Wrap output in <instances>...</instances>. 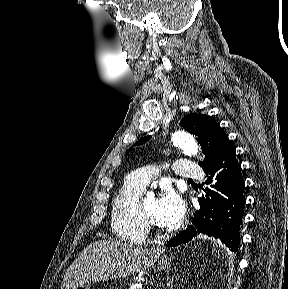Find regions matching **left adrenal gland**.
Wrapping results in <instances>:
<instances>
[{
    "label": "left adrenal gland",
    "instance_id": "obj_1",
    "mask_svg": "<svg viewBox=\"0 0 288 289\" xmlns=\"http://www.w3.org/2000/svg\"><path fill=\"white\" fill-rule=\"evenodd\" d=\"M173 282H174V276H172V277L168 280L165 289H173V287H174Z\"/></svg>",
    "mask_w": 288,
    "mask_h": 289
}]
</instances>
